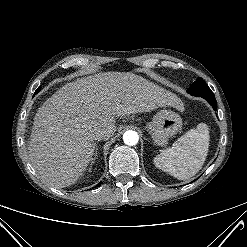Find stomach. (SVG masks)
<instances>
[{
    "label": "stomach",
    "mask_w": 247,
    "mask_h": 247,
    "mask_svg": "<svg viewBox=\"0 0 247 247\" xmlns=\"http://www.w3.org/2000/svg\"><path fill=\"white\" fill-rule=\"evenodd\" d=\"M181 128V117L168 109L157 112L152 121L146 125L154 144L161 147L167 145L169 138L177 134Z\"/></svg>",
    "instance_id": "1"
}]
</instances>
